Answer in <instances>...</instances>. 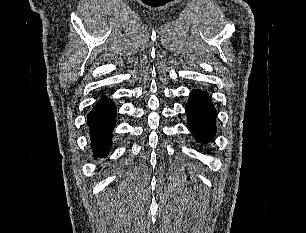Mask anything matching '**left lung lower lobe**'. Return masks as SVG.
Here are the masks:
<instances>
[{
	"mask_svg": "<svg viewBox=\"0 0 306 233\" xmlns=\"http://www.w3.org/2000/svg\"><path fill=\"white\" fill-rule=\"evenodd\" d=\"M188 126L196 140L206 143L216 133V110L208 94L201 90L190 93L186 105Z\"/></svg>",
	"mask_w": 306,
	"mask_h": 233,
	"instance_id": "1",
	"label": "left lung lower lobe"
}]
</instances>
